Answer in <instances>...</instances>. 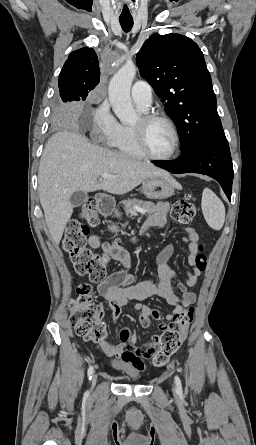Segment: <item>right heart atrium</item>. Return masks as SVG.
I'll list each match as a JSON object with an SVG mask.
<instances>
[{"label": "right heart atrium", "instance_id": "1", "mask_svg": "<svg viewBox=\"0 0 256 445\" xmlns=\"http://www.w3.org/2000/svg\"><path fill=\"white\" fill-rule=\"evenodd\" d=\"M121 125L112 114L106 101L99 103L92 116V136L99 142L112 145L117 139Z\"/></svg>", "mask_w": 256, "mask_h": 445}]
</instances>
